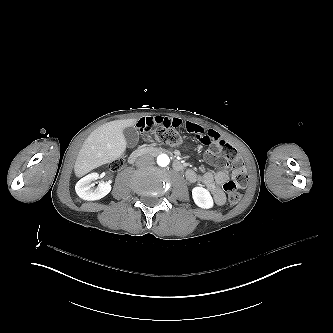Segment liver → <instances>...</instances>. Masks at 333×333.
Masks as SVG:
<instances>
[{
	"instance_id": "obj_1",
	"label": "liver",
	"mask_w": 333,
	"mask_h": 333,
	"mask_svg": "<svg viewBox=\"0 0 333 333\" xmlns=\"http://www.w3.org/2000/svg\"><path fill=\"white\" fill-rule=\"evenodd\" d=\"M138 121L137 118L110 121L92 131L76 158L75 176L81 178L102 165L119 160L127 148L123 130L134 127Z\"/></svg>"
}]
</instances>
